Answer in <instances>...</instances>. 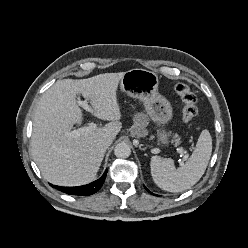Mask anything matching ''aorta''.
Listing matches in <instances>:
<instances>
[{
  "label": "aorta",
  "instance_id": "762f6f07",
  "mask_svg": "<svg viewBox=\"0 0 248 248\" xmlns=\"http://www.w3.org/2000/svg\"><path fill=\"white\" fill-rule=\"evenodd\" d=\"M114 154L118 158H127L131 154L130 146L127 143L121 142L115 146Z\"/></svg>",
  "mask_w": 248,
  "mask_h": 248
}]
</instances>
